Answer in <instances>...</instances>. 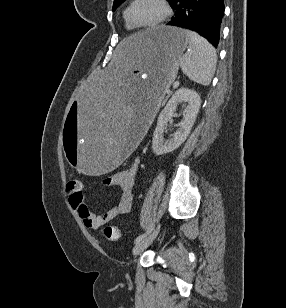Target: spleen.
<instances>
[{"label": "spleen", "mask_w": 286, "mask_h": 308, "mask_svg": "<svg viewBox=\"0 0 286 308\" xmlns=\"http://www.w3.org/2000/svg\"><path fill=\"white\" fill-rule=\"evenodd\" d=\"M189 38L188 50L180 59L182 72L192 81L209 85L217 62L214 47L194 31L186 30Z\"/></svg>", "instance_id": "obj_1"}]
</instances>
